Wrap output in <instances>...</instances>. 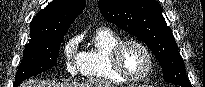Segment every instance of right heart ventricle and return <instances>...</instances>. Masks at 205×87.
<instances>
[{
    "label": "right heart ventricle",
    "instance_id": "right-heart-ventricle-1",
    "mask_svg": "<svg viewBox=\"0 0 205 87\" xmlns=\"http://www.w3.org/2000/svg\"><path fill=\"white\" fill-rule=\"evenodd\" d=\"M121 41L116 32L106 28L97 29L81 53L82 76L98 84H124L125 81L114 72L110 61L112 50Z\"/></svg>",
    "mask_w": 205,
    "mask_h": 87
}]
</instances>
